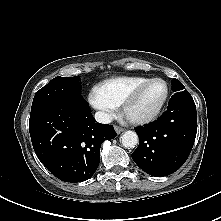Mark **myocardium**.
I'll return each instance as SVG.
<instances>
[{"label":"myocardium","instance_id":"obj_1","mask_svg":"<svg viewBox=\"0 0 221 221\" xmlns=\"http://www.w3.org/2000/svg\"><path fill=\"white\" fill-rule=\"evenodd\" d=\"M162 83L164 85L165 88V93L164 96L161 100V102L159 103V105L156 107V109L151 112L150 114L144 116V117H131L130 116V109L132 108V106L139 100L143 90L145 88H147L149 85L153 84V83ZM169 98V86L166 83V81H164L161 78H153V79H149L146 82L142 83L141 85H139L124 101L123 105H122V110L123 113L125 115V117L132 123L136 124V125H147L150 124L154 121H156L159 116L161 115L167 101Z\"/></svg>","mask_w":221,"mask_h":221}]
</instances>
